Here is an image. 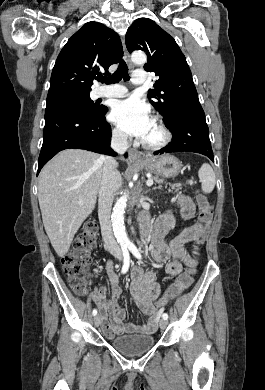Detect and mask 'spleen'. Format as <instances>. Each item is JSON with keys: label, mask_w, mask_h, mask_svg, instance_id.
I'll return each instance as SVG.
<instances>
[{"label": "spleen", "mask_w": 265, "mask_h": 390, "mask_svg": "<svg viewBox=\"0 0 265 390\" xmlns=\"http://www.w3.org/2000/svg\"><path fill=\"white\" fill-rule=\"evenodd\" d=\"M202 191L206 194L211 193L216 184V178L212 167L204 163L198 171Z\"/></svg>", "instance_id": "obj_1"}]
</instances>
